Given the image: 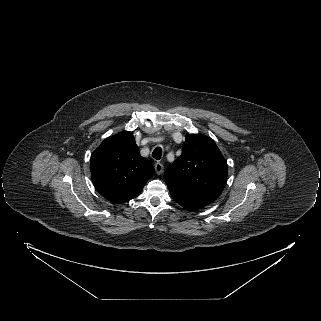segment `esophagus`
Returning <instances> with one entry per match:
<instances>
[{"instance_id": "esophagus-1", "label": "esophagus", "mask_w": 321, "mask_h": 321, "mask_svg": "<svg viewBox=\"0 0 321 321\" xmlns=\"http://www.w3.org/2000/svg\"><path fill=\"white\" fill-rule=\"evenodd\" d=\"M154 168H155V172H156L158 175H160V174H162V172H163L164 166H163L162 163L156 162L155 165H154Z\"/></svg>"}]
</instances>
